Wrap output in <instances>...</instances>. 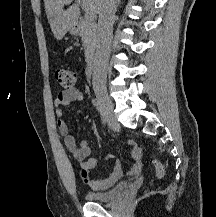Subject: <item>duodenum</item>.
Returning <instances> with one entry per match:
<instances>
[{
	"mask_svg": "<svg viewBox=\"0 0 216 217\" xmlns=\"http://www.w3.org/2000/svg\"><path fill=\"white\" fill-rule=\"evenodd\" d=\"M96 67V57L94 53H88L87 74L92 75Z\"/></svg>",
	"mask_w": 216,
	"mask_h": 217,
	"instance_id": "1",
	"label": "duodenum"
}]
</instances>
